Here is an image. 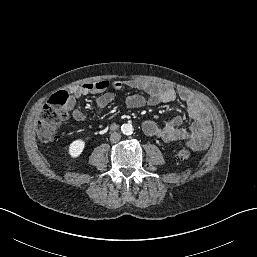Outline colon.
I'll use <instances>...</instances> for the list:
<instances>
[{
    "instance_id": "colon-1",
    "label": "colon",
    "mask_w": 257,
    "mask_h": 257,
    "mask_svg": "<svg viewBox=\"0 0 257 257\" xmlns=\"http://www.w3.org/2000/svg\"><path fill=\"white\" fill-rule=\"evenodd\" d=\"M69 101V93L67 91H59L42 107L35 124L37 134L42 141L52 142L60 137L62 123L68 117ZM201 148V145H196L192 150ZM192 150H180L177 153V159L186 160L190 158Z\"/></svg>"
}]
</instances>
